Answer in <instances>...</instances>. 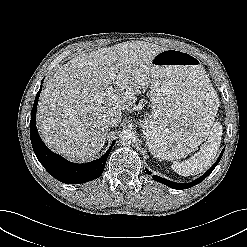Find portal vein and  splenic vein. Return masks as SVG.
I'll return each instance as SVG.
<instances>
[{
    "label": "portal vein and splenic vein",
    "mask_w": 247,
    "mask_h": 247,
    "mask_svg": "<svg viewBox=\"0 0 247 247\" xmlns=\"http://www.w3.org/2000/svg\"><path fill=\"white\" fill-rule=\"evenodd\" d=\"M109 75H110V78H111L112 80H114V79L116 78V74L114 73L113 69H111V71L109 72ZM113 91H114V88H113L112 85L109 86V87L107 88V90H106V92H107L108 94H111Z\"/></svg>",
    "instance_id": "1"
}]
</instances>
